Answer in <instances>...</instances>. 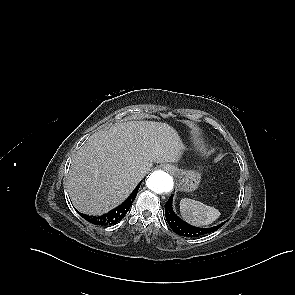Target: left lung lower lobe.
I'll return each instance as SVG.
<instances>
[{
	"label": "left lung lower lobe",
	"instance_id": "1",
	"mask_svg": "<svg viewBox=\"0 0 295 295\" xmlns=\"http://www.w3.org/2000/svg\"><path fill=\"white\" fill-rule=\"evenodd\" d=\"M172 200L173 195L170 196L167 203L165 204V217L170 226V228L178 235L184 237H199L213 231H216L219 227H221L224 223H221L217 226L211 228H199L189 225L188 223L181 220L174 213L172 208Z\"/></svg>",
	"mask_w": 295,
	"mask_h": 295
}]
</instances>
